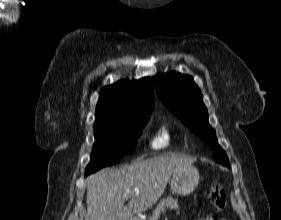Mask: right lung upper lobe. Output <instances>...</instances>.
I'll return each mask as SVG.
<instances>
[{"label": "right lung upper lobe", "mask_w": 281, "mask_h": 220, "mask_svg": "<svg viewBox=\"0 0 281 220\" xmlns=\"http://www.w3.org/2000/svg\"><path fill=\"white\" fill-rule=\"evenodd\" d=\"M155 99L149 77L121 80L101 90L95 123H114L151 115Z\"/></svg>", "instance_id": "right-lung-upper-lobe-1"}]
</instances>
